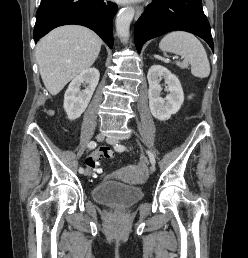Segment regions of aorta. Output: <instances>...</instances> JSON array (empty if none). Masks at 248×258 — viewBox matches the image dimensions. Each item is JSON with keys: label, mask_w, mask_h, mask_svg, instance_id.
Here are the masks:
<instances>
[{"label": "aorta", "mask_w": 248, "mask_h": 258, "mask_svg": "<svg viewBox=\"0 0 248 258\" xmlns=\"http://www.w3.org/2000/svg\"><path fill=\"white\" fill-rule=\"evenodd\" d=\"M134 14L135 10L133 7H125L117 15L115 22L116 32L117 35L124 40H127L129 37L130 24Z\"/></svg>", "instance_id": "aorta-1"}]
</instances>
